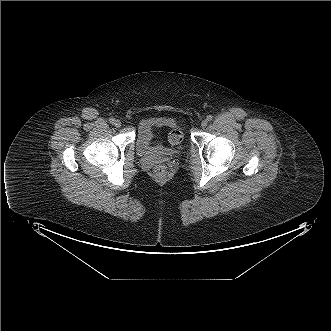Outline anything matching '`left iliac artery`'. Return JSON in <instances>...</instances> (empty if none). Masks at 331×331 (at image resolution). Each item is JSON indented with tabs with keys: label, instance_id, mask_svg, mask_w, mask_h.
<instances>
[{
	"label": "left iliac artery",
	"instance_id": "obj_1",
	"mask_svg": "<svg viewBox=\"0 0 331 331\" xmlns=\"http://www.w3.org/2000/svg\"><path fill=\"white\" fill-rule=\"evenodd\" d=\"M212 119H213V117H212L211 115H208V116H207V120H208V121H212Z\"/></svg>",
	"mask_w": 331,
	"mask_h": 331
}]
</instances>
